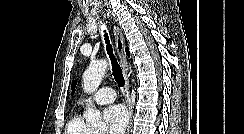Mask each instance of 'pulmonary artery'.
<instances>
[{
	"label": "pulmonary artery",
	"instance_id": "obj_1",
	"mask_svg": "<svg viewBox=\"0 0 244 134\" xmlns=\"http://www.w3.org/2000/svg\"><path fill=\"white\" fill-rule=\"evenodd\" d=\"M116 99L115 91L110 87H103L99 89L95 94L84 99V104L96 103V104H109Z\"/></svg>",
	"mask_w": 244,
	"mask_h": 134
}]
</instances>
